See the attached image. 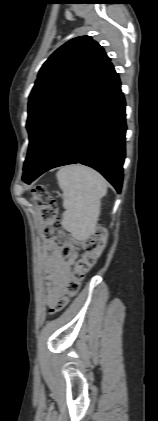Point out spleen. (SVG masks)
<instances>
[{"label":"spleen","instance_id":"1","mask_svg":"<svg viewBox=\"0 0 158 421\" xmlns=\"http://www.w3.org/2000/svg\"><path fill=\"white\" fill-rule=\"evenodd\" d=\"M57 179L65 208L62 226L76 239H85L96 226L106 181L97 171L80 164L62 167Z\"/></svg>","mask_w":158,"mask_h":421}]
</instances>
